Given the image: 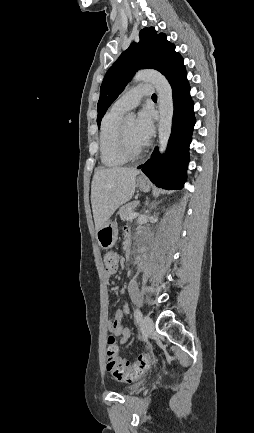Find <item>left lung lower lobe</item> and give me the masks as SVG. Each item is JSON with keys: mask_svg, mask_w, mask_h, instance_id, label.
<instances>
[{"mask_svg": "<svg viewBox=\"0 0 254 433\" xmlns=\"http://www.w3.org/2000/svg\"><path fill=\"white\" fill-rule=\"evenodd\" d=\"M173 92L174 114L172 132L165 154L156 148L151 158L138 166L158 187L182 189L186 181L189 162V144L195 124L193 101L182 57H179L166 71Z\"/></svg>", "mask_w": 254, "mask_h": 433, "instance_id": "1", "label": "left lung lower lobe"}]
</instances>
